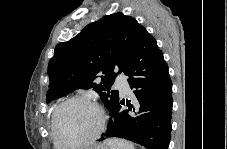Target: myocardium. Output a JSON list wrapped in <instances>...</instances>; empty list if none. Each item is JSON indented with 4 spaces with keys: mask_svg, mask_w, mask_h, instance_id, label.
Returning a JSON list of instances; mask_svg holds the SVG:
<instances>
[{
    "mask_svg": "<svg viewBox=\"0 0 227 149\" xmlns=\"http://www.w3.org/2000/svg\"><path fill=\"white\" fill-rule=\"evenodd\" d=\"M75 102L86 103L93 106L99 114V123L95 131L86 139L78 142H73V143H65L62 141V139L59 136L58 117L60 115V112L65 106ZM105 124H106V114L104 109L95 100L85 96H73L64 100L55 108L52 116V132H53L54 140L58 146H63V147H83V146H89L93 144L103 133L105 129Z\"/></svg>",
    "mask_w": 227,
    "mask_h": 149,
    "instance_id": "1",
    "label": "myocardium"
}]
</instances>
